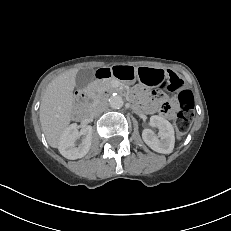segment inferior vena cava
Segmentation results:
<instances>
[{"label": "inferior vena cava", "instance_id": "602c4592", "mask_svg": "<svg viewBox=\"0 0 231 231\" xmlns=\"http://www.w3.org/2000/svg\"><path fill=\"white\" fill-rule=\"evenodd\" d=\"M105 108H106V104L105 103H101V104L97 105L94 108L92 114L93 115H99L100 113H102L105 110Z\"/></svg>", "mask_w": 231, "mask_h": 231}]
</instances>
